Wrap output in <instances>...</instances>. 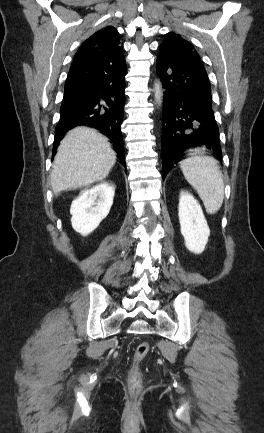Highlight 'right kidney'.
<instances>
[{"label": "right kidney", "mask_w": 264, "mask_h": 433, "mask_svg": "<svg viewBox=\"0 0 264 433\" xmlns=\"http://www.w3.org/2000/svg\"><path fill=\"white\" fill-rule=\"evenodd\" d=\"M114 193L115 188L107 182L81 191L70 208L73 229L83 236L93 232L109 214Z\"/></svg>", "instance_id": "1"}]
</instances>
